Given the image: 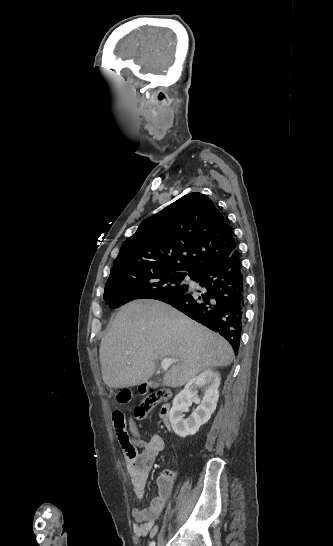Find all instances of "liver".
Instances as JSON below:
<instances>
[{
    "label": "liver",
    "mask_w": 333,
    "mask_h": 546,
    "mask_svg": "<svg viewBox=\"0 0 333 546\" xmlns=\"http://www.w3.org/2000/svg\"><path fill=\"white\" fill-rule=\"evenodd\" d=\"M164 358L179 360L164 376L165 385L179 387L205 369L230 365L234 354L220 335L163 302L122 306L100 344L104 383L110 388L145 383Z\"/></svg>",
    "instance_id": "obj_1"
}]
</instances>
